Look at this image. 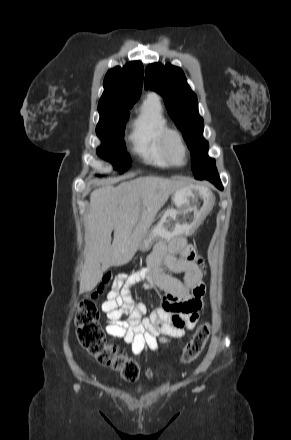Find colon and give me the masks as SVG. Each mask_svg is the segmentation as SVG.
<instances>
[{
  "label": "colon",
  "mask_w": 291,
  "mask_h": 440,
  "mask_svg": "<svg viewBox=\"0 0 291 440\" xmlns=\"http://www.w3.org/2000/svg\"><path fill=\"white\" fill-rule=\"evenodd\" d=\"M110 281L111 273L106 272L102 278V283L80 302L75 317L77 337L80 344L99 362L112 366L125 379L135 381L140 376L138 365L123 355L116 346L106 342L98 323L99 316L94 300L104 292V285ZM210 332L211 325L209 322H205L199 327L183 349L181 356L183 363L191 362L198 357L209 338ZM146 374L151 376L152 370L148 369Z\"/></svg>",
  "instance_id": "5ec220e1"
}]
</instances>
